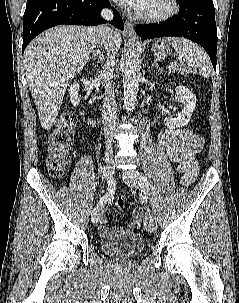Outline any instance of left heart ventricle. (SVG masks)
<instances>
[{
	"label": "left heart ventricle",
	"mask_w": 239,
	"mask_h": 303,
	"mask_svg": "<svg viewBox=\"0 0 239 303\" xmlns=\"http://www.w3.org/2000/svg\"><path fill=\"white\" fill-rule=\"evenodd\" d=\"M168 9V0H148L143 13H159Z\"/></svg>",
	"instance_id": "b2bd125f"
}]
</instances>
